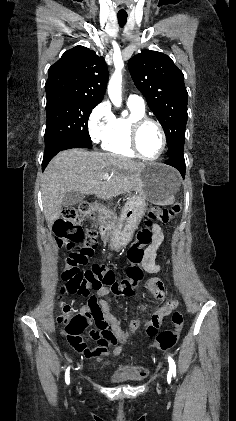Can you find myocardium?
<instances>
[{
  "label": "myocardium",
  "mask_w": 236,
  "mask_h": 421,
  "mask_svg": "<svg viewBox=\"0 0 236 421\" xmlns=\"http://www.w3.org/2000/svg\"><path fill=\"white\" fill-rule=\"evenodd\" d=\"M145 123L153 124L158 129V131L160 133V136H161V149H160L158 155L155 156V157H152V158L144 156L141 153V151L139 149V146H138V132H139L140 127ZM127 131H128V138H129L131 148H132L133 152L136 154L137 157H139V158H141L145 161H151L152 162V161L159 160L163 156V154L166 150V146H167V136H166V132H165L164 128L162 127V125L158 121L154 120L153 118L147 117V116L135 117L129 122Z\"/></svg>",
  "instance_id": "f54148a6"
}]
</instances>
